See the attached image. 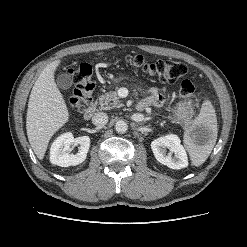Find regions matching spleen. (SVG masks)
<instances>
[{
    "label": "spleen",
    "mask_w": 247,
    "mask_h": 247,
    "mask_svg": "<svg viewBox=\"0 0 247 247\" xmlns=\"http://www.w3.org/2000/svg\"><path fill=\"white\" fill-rule=\"evenodd\" d=\"M194 125L209 132L208 139L202 144H196L191 138V132L186 131L184 143L194 166H200L209 157L217 139V118L215 109L209 100H205L201 110L194 120Z\"/></svg>",
    "instance_id": "3e777b00"
}]
</instances>
